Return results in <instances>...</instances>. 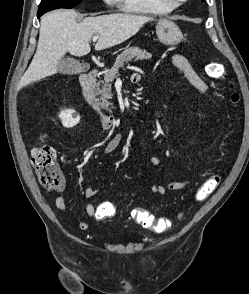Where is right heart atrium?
I'll list each match as a JSON object with an SVG mask.
<instances>
[{
  "instance_id": "1",
  "label": "right heart atrium",
  "mask_w": 249,
  "mask_h": 294,
  "mask_svg": "<svg viewBox=\"0 0 249 294\" xmlns=\"http://www.w3.org/2000/svg\"><path fill=\"white\" fill-rule=\"evenodd\" d=\"M106 3L111 4L114 0H104Z\"/></svg>"
}]
</instances>
